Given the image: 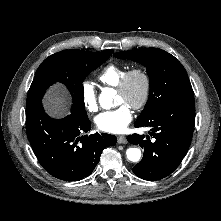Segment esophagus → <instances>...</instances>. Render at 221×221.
Returning <instances> with one entry per match:
<instances>
[{"mask_svg":"<svg viewBox=\"0 0 221 221\" xmlns=\"http://www.w3.org/2000/svg\"><path fill=\"white\" fill-rule=\"evenodd\" d=\"M117 141H118L119 144H125V143H127V139H126V137L123 136V135L118 136V137H117Z\"/></svg>","mask_w":221,"mask_h":221,"instance_id":"1","label":"esophagus"}]
</instances>
